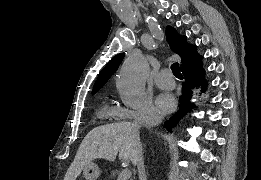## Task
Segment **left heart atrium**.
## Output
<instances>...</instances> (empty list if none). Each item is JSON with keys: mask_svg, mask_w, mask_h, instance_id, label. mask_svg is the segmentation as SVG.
<instances>
[{"mask_svg": "<svg viewBox=\"0 0 261 180\" xmlns=\"http://www.w3.org/2000/svg\"><path fill=\"white\" fill-rule=\"evenodd\" d=\"M175 106L174 97L168 92H161L157 95L155 100V108L162 112H170Z\"/></svg>", "mask_w": 261, "mask_h": 180, "instance_id": "obj_1", "label": "left heart atrium"}]
</instances>
